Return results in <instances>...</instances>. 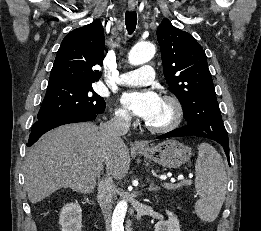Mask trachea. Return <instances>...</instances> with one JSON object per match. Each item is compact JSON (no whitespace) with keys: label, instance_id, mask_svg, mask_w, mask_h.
<instances>
[{"label":"trachea","instance_id":"obj_1","mask_svg":"<svg viewBox=\"0 0 261 231\" xmlns=\"http://www.w3.org/2000/svg\"><path fill=\"white\" fill-rule=\"evenodd\" d=\"M125 24L129 34H132L137 24V14L135 11H127L125 15Z\"/></svg>","mask_w":261,"mask_h":231}]
</instances>
